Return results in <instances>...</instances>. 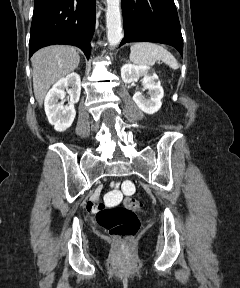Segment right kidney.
I'll list each match as a JSON object with an SVG mask.
<instances>
[{"mask_svg": "<svg viewBox=\"0 0 240 288\" xmlns=\"http://www.w3.org/2000/svg\"><path fill=\"white\" fill-rule=\"evenodd\" d=\"M70 87V89H68ZM65 89L70 96V102L63 106L58 101L64 99ZM81 92V80L77 73H71L57 81L45 97V113L51 125L56 131L62 132L68 129L76 116L74 104L79 101Z\"/></svg>", "mask_w": 240, "mask_h": 288, "instance_id": "1", "label": "right kidney"}]
</instances>
